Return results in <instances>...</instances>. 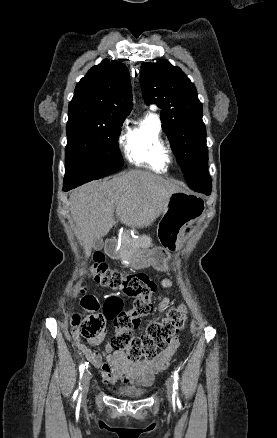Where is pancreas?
I'll list each match as a JSON object with an SVG mask.
<instances>
[{
    "instance_id": "pancreas-1",
    "label": "pancreas",
    "mask_w": 277,
    "mask_h": 438,
    "mask_svg": "<svg viewBox=\"0 0 277 438\" xmlns=\"http://www.w3.org/2000/svg\"><path fill=\"white\" fill-rule=\"evenodd\" d=\"M135 233L127 232L121 235H112L111 239H105L104 244H111L115 249L111 253H143L145 248L151 245L149 235L146 233H139L137 239ZM126 263L124 260L121 262Z\"/></svg>"
}]
</instances>
